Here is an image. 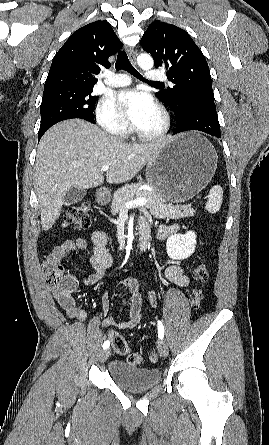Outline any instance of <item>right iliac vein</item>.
<instances>
[{
    "label": "right iliac vein",
    "instance_id": "right-iliac-vein-1",
    "mask_svg": "<svg viewBox=\"0 0 269 445\" xmlns=\"http://www.w3.org/2000/svg\"><path fill=\"white\" fill-rule=\"evenodd\" d=\"M110 351L109 349H105L100 353L99 360L100 362H105L109 357Z\"/></svg>",
    "mask_w": 269,
    "mask_h": 445
}]
</instances>
